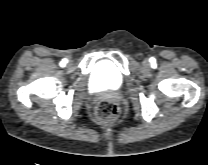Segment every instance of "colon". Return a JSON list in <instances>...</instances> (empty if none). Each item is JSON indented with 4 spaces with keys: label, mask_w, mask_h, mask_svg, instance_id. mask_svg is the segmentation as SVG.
<instances>
[{
    "label": "colon",
    "mask_w": 208,
    "mask_h": 165,
    "mask_svg": "<svg viewBox=\"0 0 208 165\" xmlns=\"http://www.w3.org/2000/svg\"><path fill=\"white\" fill-rule=\"evenodd\" d=\"M94 115L100 122H111L115 120L119 115L118 105L109 99L100 100L95 105Z\"/></svg>",
    "instance_id": "colon-1"
}]
</instances>
